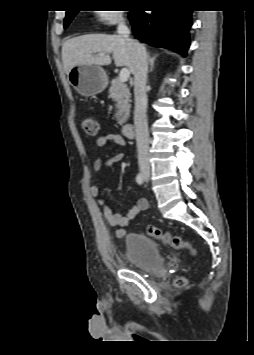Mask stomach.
I'll use <instances>...</instances> for the list:
<instances>
[{"label":"stomach","instance_id":"1","mask_svg":"<svg viewBox=\"0 0 254 355\" xmlns=\"http://www.w3.org/2000/svg\"><path fill=\"white\" fill-rule=\"evenodd\" d=\"M67 77L70 85L84 97L101 93L108 83L105 70L94 64L77 65L70 70Z\"/></svg>","mask_w":254,"mask_h":355}]
</instances>
